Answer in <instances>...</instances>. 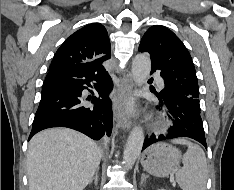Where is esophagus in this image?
I'll list each match as a JSON object with an SVG mask.
<instances>
[{"instance_id":"esophagus-1","label":"esophagus","mask_w":234,"mask_h":190,"mask_svg":"<svg viewBox=\"0 0 234 190\" xmlns=\"http://www.w3.org/2000/svg\"><path fill=\"white\" fill-rule=\"evenodd\" d=\"M133 81L131 77H124L121 81V86L117 97L114 100V116L119 124V127L125 131L131 128L132 122L126 103L132 95Z\"/></svg>"}]
</instances>
